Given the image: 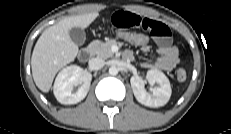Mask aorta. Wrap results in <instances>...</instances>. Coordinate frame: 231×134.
Here are the masks:
<instances>
[{
    "mask_svg": "<svg viewBox=\"0 0 231 134\" xmlns=\"http://www.w3.org/2000/svg\"><path fill=\"white\" fill-rule=\"evenodd\" d=\"M118 72H119V70H118V68L117 67H115V66H111L110 68H109V74L110 75H117L118 74Z\"/></svg>",
    "mask_w": 231,
    "mask_h": 134,
    "instance_id": "aorta-1",
    "label": "aorta"
}]
</instances>
